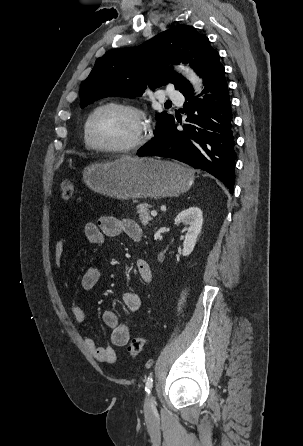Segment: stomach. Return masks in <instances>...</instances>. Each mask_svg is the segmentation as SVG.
Masks as SVG:
<instances>
[{"label":"stomach","mask_w":303,"mask_h":446,"mask_svg":"<svg viewBox=\"0 0 303 446\" xmlns=\"http://www.w3.org/2000/svg\"><path fill=\"white\" fill-rule=\"evenodd\" d=\"M186 167L155 158L123 157L94 163L83 171V181L94 192L117 199L171 197L193 184Z\"/></svg>","instance_id":"stomach-1"}]
</instances>
